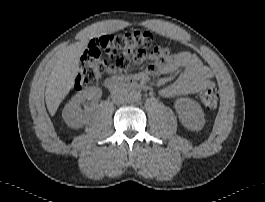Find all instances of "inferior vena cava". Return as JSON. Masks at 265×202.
Segmentation results:
<instances>
[{"mask_svg": "<svg viewBox=\"0 0 265 202\" xmlns=\"http://www.w3.org/2000/svg\"><path fill=\"white\" fill-rule=\"evenodd\" d=\"M112 100L115 104H123L128 100V91L123 88H117L111 93Z\"/></svg>", "mask_w": 265, "mask_h": 202, "instance_id": "1", "label": "inferior vena cava"}]
</instances>
